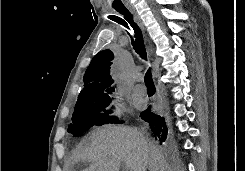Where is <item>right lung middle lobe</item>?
Listing matches in <instances>:
<instances>
[{
  "label": "right lung middle lobe",
  "mask_w": 245,
  "mask_h": 171,
  "mask_svg": "<svg viewBox=\"0 0 245 171\" xmlns=\"http://www.w3.org/2000/svg\"><path fill=\"white\" fill-rule=\"evenodd\" d=\"M109 95H99L85 100H78L72 115V124L68 132L80 136L92 127L109 123H122L116 117L110 116L111 111L106 110L110 104ZM169 140L166 142L168 143Z\"/></svg>",
  "instance_id": "1"
}]
</instances>
